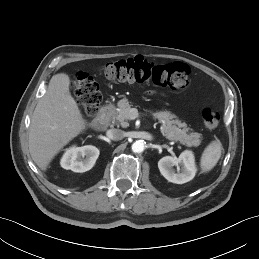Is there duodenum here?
<instances>
[{"label":"duodenum","instance_id":"obj_1","mask_svg":"<svg viewBox=\"0 0 259 259\" xmlns=\"http://www.w3.org/2000/svg\"><path fill=\"white\" fill-rule=\"evenodd\" d=\"M111 113L112 108L110 106H105L95 120V127L98 129L106 128L111 118Z\"/></svg>","mask_w":259,"mask_h":259}]
</instances>
